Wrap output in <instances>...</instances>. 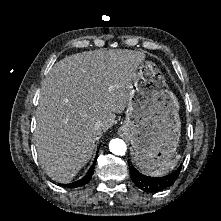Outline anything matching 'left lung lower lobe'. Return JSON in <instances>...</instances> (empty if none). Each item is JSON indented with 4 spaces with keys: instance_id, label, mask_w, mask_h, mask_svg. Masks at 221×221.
Wrapping results in <instances>:
<instances>
[{
    "instance_id": "1",
    "label": "left lung lower lobe",
    "mask_w": 221,
    "mask_h": 221,
    "mask_svg": "<svg viewBox=\"0 0 221 221\" xmlns=\"http://www.w3.org/2000/svg\"><path fill=\"white\" fill-rule=\"evenodd\" d=\"M130 164V163H129ZM131 178L137 187L149 193L161 191L171 186L178 178L181 167L164 177H149L139 173L132 165L129 167Z\"/></svg>"
}]
</instances>
